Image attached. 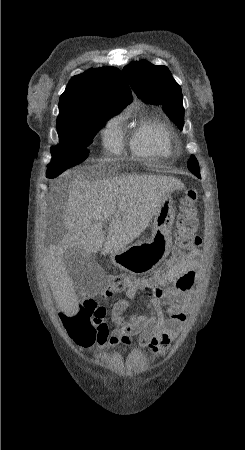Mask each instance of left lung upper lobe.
Masks as SVG:
<instances>
[{
    "label": "left lung upper lobe",
    "mask_w": 245,
    "mask_h": 450,
    "mask_svg": "<svg viewBox=\"0 0 245 450\" xmlns=\"http://www.w3.org/2000/svg\"><path fill=\"white\" fill-rule=\"evenodd\" d=\"M123 73L136 95L145 102L162 104L169 118L180 128L184 125V108L181 88L163 65H153L147 61L131 63ZM188 169L200 176L198 161L191 156Z\"/></svg>",
    "instance_id": "1"
}]
</instances>
